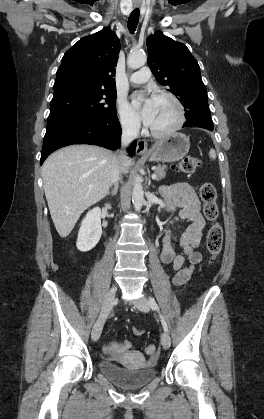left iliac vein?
I'll use <instances>...</instances> for the list:
<instances>
[{"label": "left iliac vein", "instance_id": "obj_1", "mask_svg": "<svg viewBox=\"0 0 264 419\" xmlns=\"http://www.w3.org/2000/svg\"><path fill=\"white\" fill-rule=\"evenodd\" d=\"M136 307L143 312H148L150 309V304L149 301L146 297H141L137 302H136ZM161 343L162 346L165 349H168L171 345V338L170 335L165 331L163 332L162 336H161Z\"/></svg>", "mask_w": 264, "mask_h": 419}]
</instances>
